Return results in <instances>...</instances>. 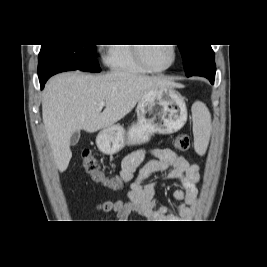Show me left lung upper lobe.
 Listing matches in <instances>:
<instances>
[{
	"label": "left lung upper lobe",
	"instance_id": "5c2ea615",
	"mask_svg": "<svg viewBox=\"0 0 267 267\" xmlns=\"http://www.w3.org/2000/svg\"><path fill=\"white\" fill-rule=\"evenodd\" d=\"M186 76H191L199 67L214 62V52L210 45H178Z\"/></svg>",
	"mask_w": 267,
	"mask_h": 267
}]
</instances>
